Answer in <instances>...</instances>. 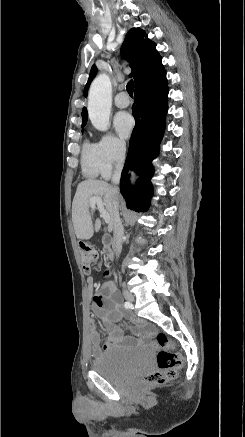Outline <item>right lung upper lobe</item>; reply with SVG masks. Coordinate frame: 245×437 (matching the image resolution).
I'll return each instance as SVG.
<instances>
[{"label":"right lung upper lobe","instance_id":"obj_1","mask_svg":"<svg viewBox=\"0 0 245 437\" xmlns=\"http://www.w3.org/2000/svg\"><path fill=\"white\" fill-rule=\"evenodd\" d=\"M121 56L126 58L132 69L130 74L135 81V90L144 88L166 78V72L162 65V58L156 50V44L150 41L147 34L141 28H132L121 47ZM97 73L95 65L92 66L83 95L86 97L91 81ZM88 119L87 109L82 110V126Z\"/></svg>","mask_w":245,"mask_h":437}]
</instances>
